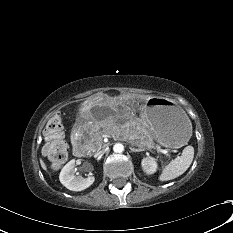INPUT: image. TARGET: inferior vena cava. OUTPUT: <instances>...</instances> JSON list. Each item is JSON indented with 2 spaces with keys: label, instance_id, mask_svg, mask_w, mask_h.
<instances>
[{
  "label": "inferior vena cava",
  "instance_id": "obj_1",
  "mask_svg": "<svg viewBox=\"0 0 233 233\" xmlns=\"http://www.w3.org/2000/svg\"><path fill=\"white\" fill-rule=\"evenodd\" d=\"M103 151H98L95 153V156H99Z\"/></svg>",
  "mask_w": 233,
  "mask_h": 233
}]
</instances>
